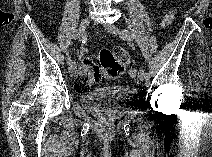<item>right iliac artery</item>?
<instances>
[{"label": "right iliac artery", "mask_w": 212, "mask_h": 157, "mask_svg": "<svg viewBox=\"0 0 212 157\" xmlns=\"http://www.w3.org/2000/svg\"><path fill=\"white\" fill-rule=\"evenodd\" d=\"M73 39H75V40L78 39L77 34H75V35L73 36ZM66 61H67L68 64H71V63H72L71 57H70L69 55H67Z\"/></svg>", "instance_id": "1"}]
</instances>
